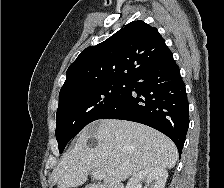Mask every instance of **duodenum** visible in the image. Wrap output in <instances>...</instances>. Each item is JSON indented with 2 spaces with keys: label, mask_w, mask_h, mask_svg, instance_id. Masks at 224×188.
Segmentation results:
<instances>
[{
  "label": "duodenum",
  "mask_w": 224,
  "mask_h": 188,
  "mask_svg": "<svg viewBox=\"0 0 224 188\" xmlns=\"http://www.w3.org/2000/svg\"><path fill=\"white\" fill-rule=\"evenodd\" d=\"M87 188H107V187H105V186H99V185H90Z\"/></svg>",
  "instance_id": "obj_1"
}]
</instances>
